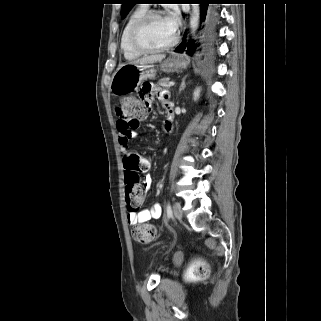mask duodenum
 <instances>
[{
  "mask_svg": "<svg viewBox=\"0 0 321 321\" xmlns=\"http://www.w3.org/2000/svg\"><path fill=\"white\" fill-rule=\"evenodd\" d=\"M168 119H169L170 121H173V113H169V114H168Z\"/></svg>",
  "mask_w": 321,
  "mask_h": 321,
  "instance_id": "1",
  "label": "duodenum"
}]
</instances>
